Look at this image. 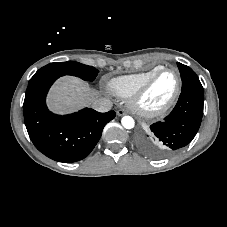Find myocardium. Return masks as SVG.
Segmentation results:
<instances>
[{
    "label": "myocardium",
    "instance_id": "obj_1",
    "mask_svg": "<svg viewBox=\"0 0 227 227\" xmlns=\"http://www.w3.org/2000/svg\"><path fill=\"white\" fill-rule=\"evenodd\" d=\"M172 71L175 73L177 78V84L175 91L171 98L159 108H146L142 105V99L150 89L155 80L164 72ZM182 89V79L179 71L174 67H161L159 70L154 72L131 96L130 106L131 108L143 117L153 118L162 116L167 113L177 101Z\"/></svg>",
    "mask_w": 227,
    "mask_h": 227
}]
</instances>
